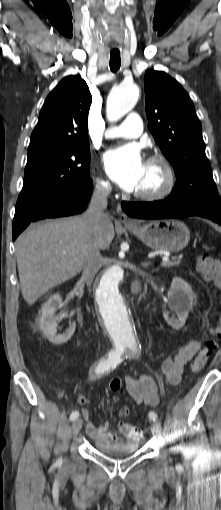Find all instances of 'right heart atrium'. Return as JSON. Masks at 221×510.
Here are the masks:
<instances>
[{
    "label": "right heart atrium",
    "mask_w": 221,
    "mask_h": 510,
    "mask_svg": "<svg viewBox=\"0 0 221 510\" xmlns=\"http://www.w3.org/2000/svg\"><path fill=\"white\" fill-rule=\"evenodd\" d=\"M96 187L97 189L104 193V194H107L109 193V191L111 190V184H110V181L105 178V177H102V176H99L97 179H96Z\"/></svg>",
    "instance_id": "right-heart-atrium-1"
}]
</instances>
